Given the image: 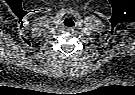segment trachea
Segmentation results:
<instances>
[{
  "instance_id": "3493384b",
  "label": "trachea",
  "mask_w": 135,
  "mask_h": 95,
  "mask_svg": "<svg viewBox=\"0 0 135 95\" xmlns=\"http://www.w3.org/2000/svg\"><path fill=\"white\" fill-rule=\"evenodd\" d=\"M64 24L67 27H73L75 25L74 21L71 18H66L64 20Z\"/></svg>"
}]
</instances>
